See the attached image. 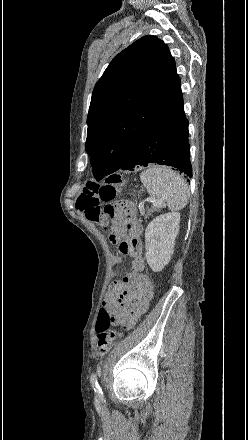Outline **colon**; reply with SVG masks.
Wrapping results in <instances>:
<instances>
[{
	"label": "colon",
	"instance_id": "colon-1",
	"mask_svg": "<svg viewBox=\"0 0 248 440\" xmlns=\"http://www.w3.org/2000/svg\"><path fill=\"white\" fill-rule=\"evenodd\" d=\"M122 179L119 175L109 176L104 183L88 182L84 190L76 200V207L82 211L86 218L92 222L110 228V240L113 243L119 241V236L113 228V220L118 205L113 202L116 195V187L120 185ZM101 202L105 205L101 207ZM124 203V202H123ZM120 204L123 210L124 205ZM114 322V315L110 309L103 307L100 310L96 331L98 337V348L100 353H107L115 342L120 338V333L111 328Z\"/></svg>",
	"mask_w": 248,
	"mask_h": 440
}]
</instances>
